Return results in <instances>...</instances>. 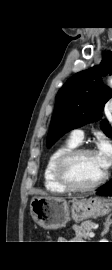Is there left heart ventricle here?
<instances>
[{
    "mask_svg": "<svg viewBox=\"0 0 112 270\" xmlns=\"http://www.w3.org/2000/svg\"><path fill=\"white\" fill-rule=\"evenodd\" d=\"M105 170L96 153L76 158L69 166L72 180L79 185H90L101 178Z\"/></svg>",
    "mask_w": 112,
    "mask_h": 270,
    "instance_id": "b2bd125f",
    "label": "left heart ventricle"
}]
</instances>
